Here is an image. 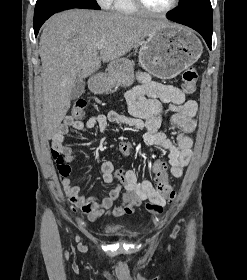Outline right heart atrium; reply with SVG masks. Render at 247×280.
I'll return each mask as SVG.
<instances>
[{
	"mask_svg": "<svg viewBox=\"0 0 247 280\" xmlns=\"http://www.w3.org/2000/svg\"><path fill=\"white\" fill-rule=\"evenodd\" d=\"M96 1L102 7H109L112 3V0H96Z\"/></svg>",
	"mask_w": 247,
	"mask_h": 280,
	"instance_id": "obj_1",
	"label": "right heart atrium"
}]
</instances>
